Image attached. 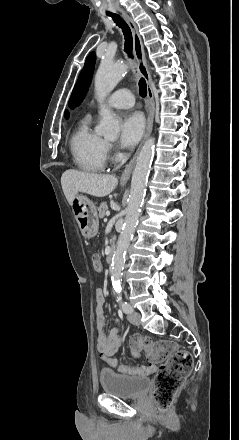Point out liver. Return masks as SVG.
Segmentation results:
<instances>
[{"label":"liver","mask_w":239,"mask_h":440,"mask_svg":"<svg viewBox=\"0 0 239 440\" xmlns=\"http://www.w3.org/2000/svg\"><path fill=\"white\" fill-rule=\"evenodd\" d=\"M117 184V178L107 176V174H87V172H78V170H66L61 176L62 190L70 206L78 192L104 198L115 190Z\"/></svg>","instance_id":"liver-1"}]
</instances>
